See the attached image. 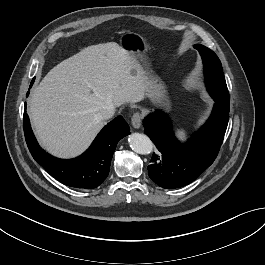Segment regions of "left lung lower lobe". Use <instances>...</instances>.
<instances>
[{
	"mask_svg": "<svg viewBox=\"0 0 265 265\" xmlns=\"http://www.w3.org/2000/svg\"><path fill=\"white\" fill-rule=\"evenodd\" d=\"M228 120L229 106L215 100L208 121L186 144H181L165 116L160 113L147 116L143 120L144 131L160 151L153 153L152 164L148 166L149 177L167 189L194 181L217 157Z\"/></svg>",
	"mask_w": 265,
	"mask_h": 265,
	"instance_id": "left-lung-lower-lobe-1",
	"label": "left lung lower lobe"
}]
</instances>
